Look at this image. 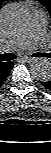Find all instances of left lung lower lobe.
I'll list each match as a JSON object with an SVG mask.
<instances>
[{
  "label": "left lung lower lobe",
  "mask_w": 51,
  "mask_h": 153,
  "mask_svg": "<svg viewBox=\"0 0 51 153\" xmlns=\"http://www.w3.org/2000/svg\"><path fill=\"white\" fill-rule=\"evenodd\" d=\"M41 83L44 85V87L51 90V80L50 81H43Z\"/></svg>",
  "instance_id": "1"
}]
</instances>
